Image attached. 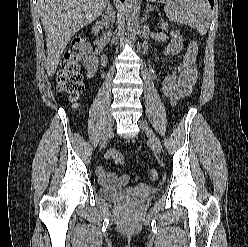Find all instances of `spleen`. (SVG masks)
<instances>
[{
	"label": "spleen",
	"mask_w": 248,
	"mask_h": 247,
	"mask_svg": "<svg viewBox=\"0 0 248 247\" xmlns=\"http://www.w3.org/2000/svg\"><path fill=\"white\" fill-rule=\"evenodd\" d=\"M164 11L170 20L188 25L201 35L208 31L211 13L208 0H165Z\"/></svg>",
	"instance_id": "1"
}]
</instances>
